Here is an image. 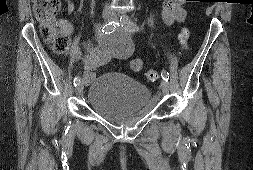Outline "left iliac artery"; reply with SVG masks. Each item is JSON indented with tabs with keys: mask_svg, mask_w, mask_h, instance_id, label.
Instances as JSON below:
<instances>
[{
	"mask_svg": "<svg viewBox=\"0 0 253 170\" xmlns=\"http://www.w3.org/2000/svg\"><path fill=\"white\" fill-rule=\"evenodd\" d=\"M120 21H121L122 27H124V28H126L128 26H132V32L138 31V29H139L136 26V24H134L133 22L130 21V19L128 17H121ZM161 76H162L163 80H165V81L169 80V73L167 71L162 70Z\"/></svg>",
	"mask_w": 253,
	"mask_h": 170,
	"instance_id": "left-iliac-artery-1",
	"label": "left iliac artery"
}]
</instances>
